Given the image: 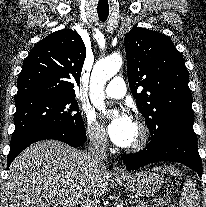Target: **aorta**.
I'll return each mask as SVG.
<instances>
[{
	"instance_id": "aorta-1",
	"label": "aorta",
	"mask_w": 206,
	"mask_h": 207,
	"mask_svg": "<svg viewBox=\"0 0 206 207\" xmlns=\"http://www.w3.org/2000/svg\"><path fill=\"white\" fill-rule=\"evenodd\" d=\"M122 66L120 54H112L96 62L90 83V98L94 107L105 111L104 85Z\"/></svg>"
}]
</instances>
